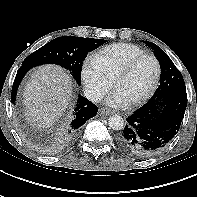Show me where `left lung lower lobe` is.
I'll use <instances>...</instances> for the list:
<instances>
[{"label": "left lung lower lobe", "instance_id": "0a47b994", "mask_svg": "<svg viewBox=\"0 0 197 197\" xmlns=\"http://www.w3.org/2000/svg\"><path fill=\"white\" fill-rule=\"evenodd\" d=\"M187 106L186 89L173 90L137 109L117 136L122 150L139 159L162 151L179 131Z\"/></svg>", "mask_w": 197, "mask_h": 197}]
</instances>
